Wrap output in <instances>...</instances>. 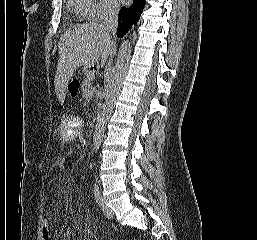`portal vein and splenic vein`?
Wrapping results in <instances>:
<instances>
[{
  "mask_svg": "<svg viewBox=\"0 0 257 240\" xmlns=\"http://www.w3.org/2000/svg\"><path fill=\"white\" fill-rule=\"evenodd\" d=\"M93 92H94V88H91L89 91H88V95L90 96H92L93 95Z\"/></svg>",
  "mask_w": 257,
  "mask_h": 240,
  "instance_id": "obj_1",
  "label": "portal vein and splenic vein"
}]
</instances>
